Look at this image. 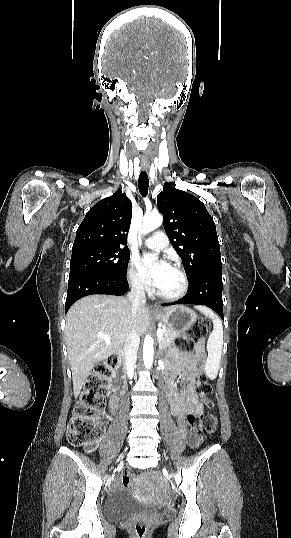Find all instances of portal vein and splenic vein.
<instances>
[{"instance_id": "1", "label": "portal vein and splenic vein", "mask_w": 291, "mask_h": 538, "mask_svg": "<svg viewBox=\"0 0 291 538\" xmlns=\"http://www.w3.org/2000/svg\"><path fill=\"white\" fill-rule=\"evenodd\" d=\"M162 336H163V331L161 329H158L157 330V337H158V340L161 341L162 339ZM102 338H104L106 340L107 343H109V340H110V336L108 335H101Z\"/></svg>"}]
</instances>
